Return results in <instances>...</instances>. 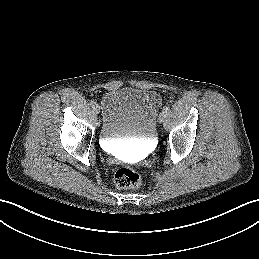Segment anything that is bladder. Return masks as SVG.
Segmentation results:
<instances>
[{
    "instance_id": "obj_1",
    "label": "bladder",
    "mask_w": 259,
    "mask_h": 259,
    "mask_svg": "<svg viewBox=\"0 0 259 259\" xmlns=\"http://www.w3.org/2000/svg\"><path fill=\"white\" fill-rule=\"evenodd\" d=\"M160 105V95L151 89L126 87L107 92L102 98L101 139L108 143L152 142Z\"/></svg>"
}]
</instances>
